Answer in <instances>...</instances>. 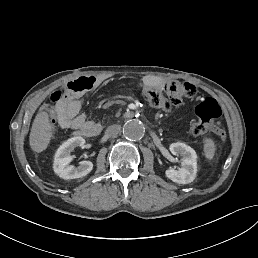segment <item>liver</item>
<instances>
[{
  "instance_id": "obj_1",
  "label": "liver",
  "mask_w": 258,
  "mask_h": 258,
  "mask_svg": "<svg viewBox=\"0 0 258 258\" xmlns=\"http://www.w3.org/2000/svg\"><path fill=\"white\" fill-rule=\"evenodd\" d=\"M52 129L53 126L49 122L48 113H38L29 136L30 146L34 152L40 153L47 148L52 137Z\"/></svg>"
}]
</instances>
